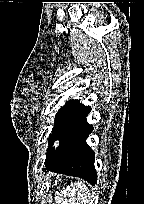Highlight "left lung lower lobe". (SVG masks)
I'll list each match as a JSON object with an SVG mask.
<instances>
[{"instance_id":"obj_1","label":"left lung lower lobe","mask_w":144,"mask_h":204,"mask_svg":"<svg viewBox=\"0 0 144 204\" xmlns=\"http://www.w3.org/2000/svg\"><path fill=\"white\" fill-rule=\"evenodd\" d=\"M90 111V107L80 105L69 122L64 140L57 148L47 151L45 164L50 171L78 176L96 184L94 152L86 143L93 130L86 120Z\"/></svg>"}]
</instances>
